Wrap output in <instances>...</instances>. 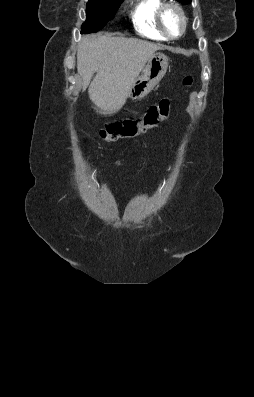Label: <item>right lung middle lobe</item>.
I'll return each mask as SVG.
<instances>
[{
  "instance_id": "obj_1",
  "label": "right lung middle lobe",
  "mask_w": 254,
  "mask_h": 397,
  "mask_svg": "<svg viewBox=\"0 0 254 397\" xmlns=\"http://www.w3.org/2000/svg\"><path fill=\"white\" fill-rule=\"evenodd\" d=\"M124 0H89L86 6V21L81 26V33H93L102 29L113 19Z\"/></svg>"
}]
</instances>
